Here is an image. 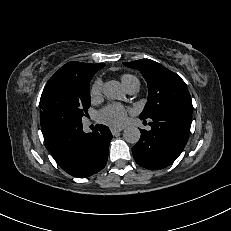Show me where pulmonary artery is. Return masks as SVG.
<instances>
[{"instance_id":"obj_1","label":"pulmonary artery","mask_w":231,"mask_h":231,"mask_svg":"<svg viewBox=\"0 0 231 231\" xmlns=\"http://www.w3.org/2000/svg\"><path fill=\"white\" fill-rule=\"evenodd\" d=\"M126 89H127L128 93H130V94L137 93L139 90V81L137 79H135L134 81H132L130 83V85Z\"/></svg>"}]
</instances>
